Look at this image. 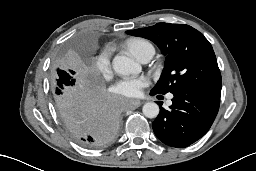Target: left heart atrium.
Wrapping results in <instances>:
<instances>
[{"label":"left heart atrium","mask_w":256,"mask_h":171,"mask_svg":"<svg viewBox=\"0 0 256 171\" xmlns=\"http://www.w3.org/2000/svg\"><path fill=\"white\" fill-rule=\"evenodd\" d=\"M148 85L144 77H127L114 86V93L120 96L135 98L141 95L143 88Z\"/></svg>","instance_id":"1"}]
</instances>
